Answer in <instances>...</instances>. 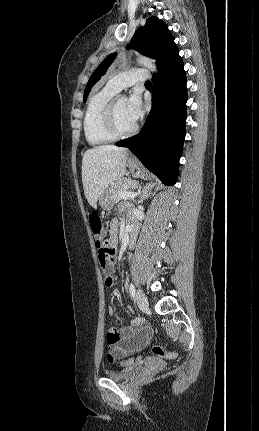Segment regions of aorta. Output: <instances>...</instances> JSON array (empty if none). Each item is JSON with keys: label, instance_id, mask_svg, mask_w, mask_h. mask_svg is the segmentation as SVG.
I'll list each match as a JSON object with an SVG mask.
<instances>
[{"label": "aorta", "instance_id": "762f6f07", "mask_svg": "<svg viewBox=\"0 0 259 431\" xmlns=\"http://www.w3.org/2000/svg\"><path fill=\"white\" fill-rule=\"evenodd\" d=\"M137 62H138L140 65L145 66V67H146V68H148L149 70H151V71H153V72H157V68H156L155 62H154L152 59H149V58H147V57H143V56H141V57H139V58L137 59Z\"/></svg>", "mask_w": 259, "mask_h": 431}]
</instances>
